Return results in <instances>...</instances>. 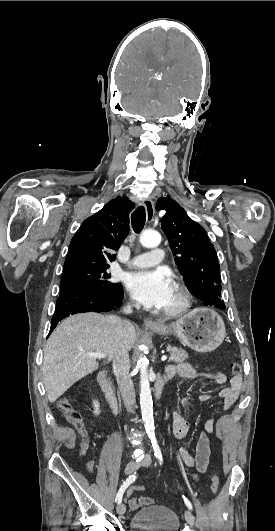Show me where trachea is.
<instances>
[{"mask_svg": "<svg viewBox=\"0 0 275 531\" xmlns=\"http://www.w3.org/2000/svg\"><path fill=\"white\" fill-rule=\"evenodd\" d=\"M146 221L145 208L139 206L131 216V223L135 233H140L142 231Z\"/></svg>", "mask_w": 275, "mask_h": 531, "instance_id": "trachea-1", "label": "trachea"}]
</instances>
